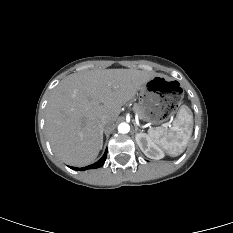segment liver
Segmentation results:
<instances>
[{
    "mask_svg": "<svg viewBox=\"0 0 233 233\" xmlns=\"http://www.w3.org/2000/svg\"><path fill=\"white\" fill-rule=\"evenodd\" d=\"M154 74L137 69H106L75 73L54 89L45 115L52 150L71 166L94 162L103 145L99 120L113 124L121 107L131 100Z\"/></svg>",
    "mask_w": 233,
    "mask_h": 233,
    "instance_id": "6515ba94",
    "label": "liver"
}]
</instances>
